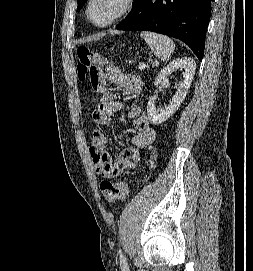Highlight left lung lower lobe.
<instances>
[{"label": "left lung lower lobe", "instance_id": "obj_1", "mask_svg": "<svg viewBox=\"0 0 253 271\" xmlns=\"http://www.w3.org/2000/svg\"><path fill=\"white\" fill-rule=\"evenodd\" d=\"M211 0H136L118 30H145L185 42L201 61Z\"/></svg>", "mask_w": 253, "mask_h": 271}]
</instances>
